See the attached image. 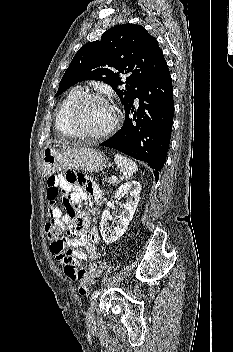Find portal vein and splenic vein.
Wrapping results in <instances>:
<instances>
[{"mask_svg": "<svg viewBox=\"0 0 233 352\" xmlns=\"http://www.w3.org/2000/svg\"><path fill=\"white\" fill-rule=\"evenodd\" d=\"M112 181L115 182L117 180V178L115 176H112Z\"/></svg>", "mask_w": 233, "mask_h": 352, "instance_id": "1", "label": "portal vein and splenic vein"}]
</instances>
